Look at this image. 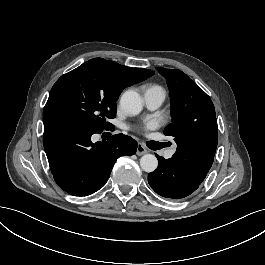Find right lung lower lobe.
Listing matches in <instances>:
<instances>
[{
	"instance_id": "1",
	"label": "right lung lower lobe",
	"mask_w": 265,
	"mask_h": 265,
	"mask_svg": "<svg viewBox=\"0 0 265 265\" xmlns=\"http://www.w3.org/2000/svg\"><path fill=\"white\" fill-rule=\"evenodd\" d=\"M43 123V144L54 180L74 196H88L101 189L116 160L137 150V142L123 134L93 143L95 133L71 121L47 117Z\"/></svg>"
}]
</instances>
